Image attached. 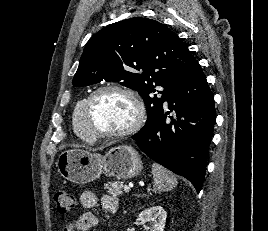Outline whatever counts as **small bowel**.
<instances>
[{"label": "small bowel", "mask_w": 268, "mask_h": 231, "mask_svg": "<svg viewBox=\"0 0 268 231\" xmlns=\"http://www.w3.org/2000/svg\"><path fill=\"white\" fill-rule=\"evenodd\" d=\"M80 204L85 208L99 205L106 214H114L118 209V199L112 195H103L99 199L93 192L84 191L80 195ZM99 224V218L92 212H86L69 222L63 231H91Z\"/></svg>", "instance_id": "1"}]
</instances>
